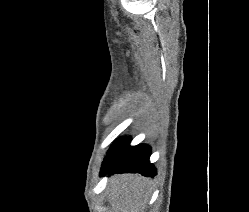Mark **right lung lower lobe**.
<instances>
[{
  "label": "right lung lower lobe",
  "instance_id": "98d812e1",
  "mask_svg": "<svg viewBox=\"0 0 249 212\" xmlns=\"http://www.w3.org/2000/svg\"><path fill=\"white\" fill-rule=\"evenodd\" d=\"M129 137H121L113 143L101 167L105 173H141L143 176L156 175L155 167L149 162L151 149L145 144L130 146Z\"/></svg>",
  "mask_w": 249,
  "mask_h": 212
}]
</instances>
